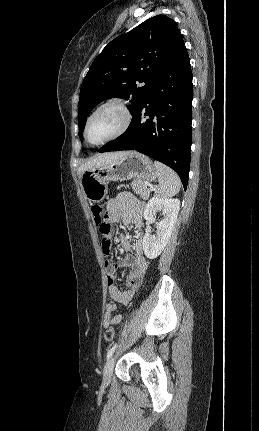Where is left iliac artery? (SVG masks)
Instances as JSON below:
<instances>
[{"label": "left iliac artery", "instance_id": "left-iliac-artery-1", "mask_svg": "<svg viewBox=\"0 0 259 431\" xmlns=\"http://www.w3.org/2000/svg\"><path fill=\"white\" fill-rule=\"evenodd\" d=\"M116 347H117V344H115L111 349L108 350V352H107V360L112 356V354L114 353Z\"/></svg>", "mask_w": 259, "mask_h": 431}]
</instances>
